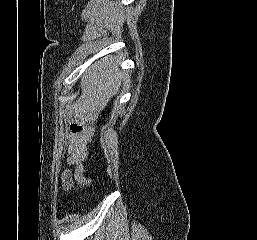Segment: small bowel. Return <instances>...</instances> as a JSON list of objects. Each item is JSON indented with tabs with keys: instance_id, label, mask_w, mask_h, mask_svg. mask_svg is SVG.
Listing matches in <instances>:
<instances>
[{
	"instance_id": "c3829d8e",
	"label": "small bowel",
	"mask_w": 257,
	"mask_h": 240,
	"mask_svg": "<svg viewBox=\"0 0 257 240\" xmlns=\"http://www.w3.org/2000/svg\"><path fill=\"white\" fill-rule=\"evenodd\" d=\"M91 140L90 132L72 133L67 137L66 162L75 166L72 172L69 169L63 170L61 174V183L65 189H70L73 181H81L83 179V163L89 158L90 154L86 150V145Z\"/></svg>"
}]
</instances>
